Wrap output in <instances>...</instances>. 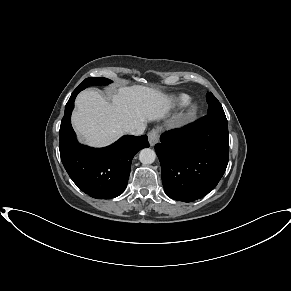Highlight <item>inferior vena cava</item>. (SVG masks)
<instances>
[{"instance_id": "1", "label": "inferior vena cava", "mask_w": 291, "mask_h": 291, "mask_svg": "<svg viewBox=\"0 0 291 291\" xmlns=\"http://www.w3.org/2000/svg\"><path fill=\"white\" fill-rule=\"evenodd\" d=\"M145 128H146V126H145V125H142V126H140L139 128H137L136 130H132V131H130L129 133H130L131 135H136V136H138V135L143 134Z\"/></svg>"}]
</instances>
